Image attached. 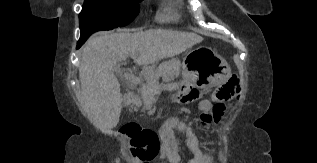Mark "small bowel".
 Returning a JSON list of instances; mask_svg holds the SVG:
<instances>
[{"label": "small bowel", "mask_w": 317, "mask_h": 163, "mask_svg": "<svg viewBox=\"0 0 317 163\" xmlns=\"http://www.w3.org/2000/svg\"><path fill=\"white\" fill-rule=\"evenodd\" d=\"M204 101L209 102L208 100ZM223 113L216 121L221 120ZM176 131H181L185 134L186 146L192 153V158L187 163L211 162L210 152L202 147L200 140L193 129L177 118L170 119L159 130L161 140L160 159L167 163H181L179 154L180 142L175 135Z\"/></svg>", "instance_id": "obj_1"}]
</instances>
